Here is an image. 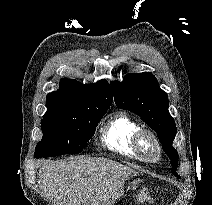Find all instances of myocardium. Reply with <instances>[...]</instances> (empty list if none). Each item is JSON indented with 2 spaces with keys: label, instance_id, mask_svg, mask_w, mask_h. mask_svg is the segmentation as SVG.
I'll return each instance as SVG.
<instances>
[{
  "label": "myocardium",
  "instance_id": "obj_1",
  "mask_svg": "<svg viewBox=\"0 0 212 205\" xmlns=\"http://www.w3.org/2000/svg\"><path fill=\"white\" fill-rule=\"evenodd\" d=\"M139 156L148 161H157L161 157V146L155 135L149 130H139L133 140Z\"/></svg>",
  "mask_w": 212,
  "mask_h": 205
}]
</instances>
